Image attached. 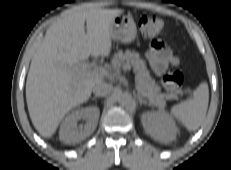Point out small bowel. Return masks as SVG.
I'll list each match as a JSON object with an SVG mask.
<instances>
[{"instance_id": "small-bowel-1", "label": "small bowel", "mask_w": 231, "mask_h": 170, "mask_svg": "<svg viewBox=\"0 0 231 170\" xmlns=\"http://www.w3.org/2000/svg\"><path fill=\"white\" fill-rule=\"evenodd\" d=\"M147 59L156 75L164 74L169 66H178L180 64L179 59L160 40L152 41L150 50L147 53Z\"/></svg>"}]
</instances>
